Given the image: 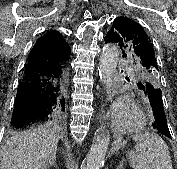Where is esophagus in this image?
Listing matches in <instances>:
<instances>
[{
    "instance_id": "obj_1",
    "label": "esophagus",
    "mask_w": 177,
    "mask_h": 169,
    "mask_svg": "<svg viewBox=\"0 0 177 169\" xmlns=\"http://www.w3.org/2000/svg\"><path fill=\"white\" fill-rule=\"evenodd\" d=\"M104 95H107V92H104Z\"/></svg>"
}]
</instances>
